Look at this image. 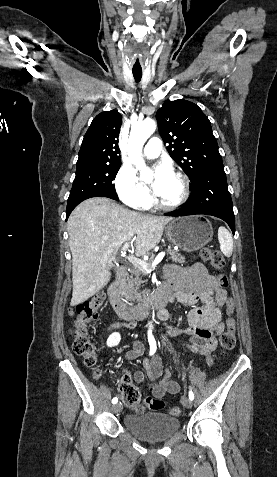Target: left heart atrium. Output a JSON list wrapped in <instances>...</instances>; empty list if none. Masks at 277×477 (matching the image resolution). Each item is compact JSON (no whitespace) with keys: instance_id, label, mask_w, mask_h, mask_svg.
I'll return each instance as SVG.
<instances>
[{"instance_id":"obj_1","label":"left heart atrium","mask_w":277,"mask_h":477,"mask_svg":"<svg viewBox=\"0 0 277 477\" xmlns=\"http://www.w3.org/2000/svg\"><path fill=\"white\" fill-rule=\"evenodd\" d=\"M172 175L173 172L167 165L160 164L156 167L153 188L157 194L161 193L164 188V185L171 178Z\"/></svg>"}]
</instances>
